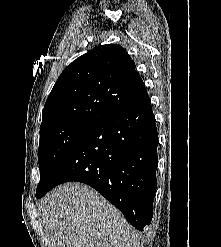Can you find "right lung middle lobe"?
<instances>
[{
  "instance_id": "right-lung-middle-lobe-1",
  "label": "right lung middle lobe",
  "mask_w": 221,
  "mask_h": 247,
  "mask_svg": "<svg viewBox=\"0 0 221 247\" xmlns=\"http://www.w3.org/2000/svg\"><path fill=\"white\" fill-rule=\"evenodd\" d=\"M94 126L87 123H69L40 131L38 150L40 182L37 193L46 184L71 148Z\"/></svg>"
}]
</instances>
